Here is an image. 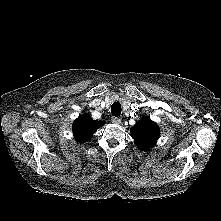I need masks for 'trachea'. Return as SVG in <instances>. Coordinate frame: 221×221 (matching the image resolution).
<instances>
[{
    "label": "trachea",
    "mask_w": 221,
    "mask_h": 221,
    "mask_svg": "<svg viewBox=\"0 0 221 221\" xmlns=\"http://www.w3.org/2000/svg\"><path fill=\"white\" fill-rule=\"evenodd\" d=\"M111 113L115 117L120 116V114H121V104L119 102H114L111 105Z\"/></svg>",
    "instance_id": "trachea-1"
}]
</instances>
